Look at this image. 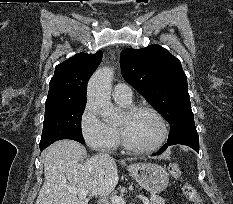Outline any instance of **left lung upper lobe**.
Returning <instances> with one entry per match:
<instances>
[{"instance_id": "5c2ea615", "label": "left lung upper lobe", "mask_w": 233, "mask_h": 204, "mask_svg": "<svg viewBox=\"0 0 233 204\" xmlns=\"http://www.w3.org/2000/svg\"><path fill=\"white\" fill-rule=\"evenodd\" d=\"M123 78L170 123L168 142L196 133L187 77L180 61L159 45L127 48L120 57Z\"/></svg>"}]
</instances>
